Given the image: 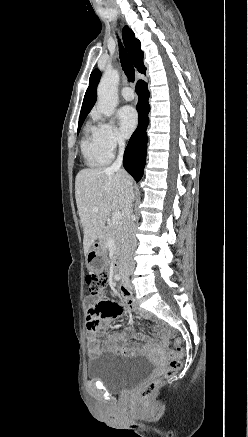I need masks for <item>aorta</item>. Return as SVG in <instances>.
<instances>
[{"instance_id":"762f6f07","label":"aorta","mask_w":248,"mask_h":437,"mask_svg":"<svg viewBox=\"0 0 248 437\" xmlns=\"http://www.w3.org/2000/svg\"><path fill=\"white\" fill-rule=\"evenodd\" d=\"M119 73L116 70L105 71L97 88L98 106L102 114L110 117L118 103Z\"/></svg>"}]
</instances>
